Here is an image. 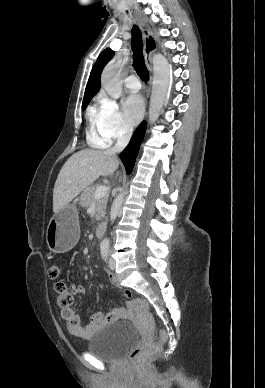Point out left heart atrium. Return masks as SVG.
Wrapping results in <instances>:
<instances>
[{"instance_id": "1", "label": "left heart atrium", "mask_w": 265, "mask_h": 388, "mask_svg": "<svg viewBox=\"0 0 265 388\" xmlns=\"http://www.w3.org/2000/svg\"><path fill=\"white\" fill-rule=\"evenodd\" d=\"M143 101L139 94H131L124 101V115L125 118L135 124L143 115Z\"/></svg>"}]
</instances>
